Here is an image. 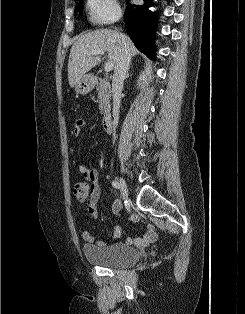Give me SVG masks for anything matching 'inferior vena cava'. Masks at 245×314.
<instances>
[{
  "label": "inferior vena cava",
  "mask_w": 245,
  "mask_h": 314,
  "mask_svg": "<svg viewBox=\"0 0 245 314\" xmlns=\"http://www.w3.org/2000/svg\"><path fill=\"white\" fill-rule=\"evenodd\" d=\"M120 17V16H119ZM131 50L126 41H122V49L118 60L115 63L114 74L112 77V95H113V130H116L119 118V107L124 79L131 61Z\"/></svg>",
  "instance_id": "obj_1"
}]
</instances>
